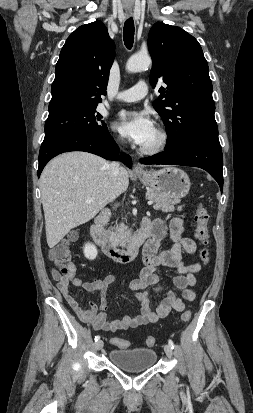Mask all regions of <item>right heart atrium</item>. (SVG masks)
I'll return each instance as SVG.
<instances>
[{"instance_id":"1","label":"right heart atrium","mask_w":253,"mask_h":413,"mask_svg":"<svg viewBox=\"0 0 253 413\" xmlns=\"http://www.w3.org/2000/svg\"><path fill=\"white\" fill-rule=\"evenodd\" d=\"M117 141H118L119 143H122V142H123V139H122L121 137H118V138H117Z\"/></svg>"}]
</instances>
